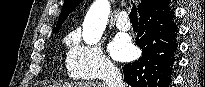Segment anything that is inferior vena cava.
Returning <instances> with one entry per match:
<instances>
[{"instance_id":"inferior-vena-cava-1","label":"inferior vena cava","mask_w":205,"mask_h":87,"mask_svg":"<svg viewBox=\"0 0 205 87\" xmlns=\"http://www.w3.org/2000/svg\"><path fill=\"white\" fill-rule=\"evenodd\" d=\"M103 80L107 87H124L121 73L113 64H108L106 66Z\"/></svg>"}]
</instances>
